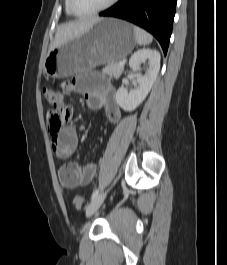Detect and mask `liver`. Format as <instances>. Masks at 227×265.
Instances as JSON below:
<instances>
[{
  "label": "liver",
  "instance_id": "liver-1",
  "mask_svg": "<svg viewBox=\"0 0 227 265\" xmlns=\"http://www.w3.org/2000/svg\"><path fill=\"white\" fill-rule=\"evenodd\" d=\"M99 20V18L78 20L60 25L55 34V38L50 45L49 51L86 33Z\"/></svg>",
  "mask_w": 227,
  "mask_h": 265
}]
</instances>
